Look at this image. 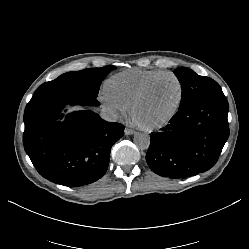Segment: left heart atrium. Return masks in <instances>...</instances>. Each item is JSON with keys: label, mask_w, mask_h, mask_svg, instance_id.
<instances>
[{"label": "left heart atrium", "mask_w": 249, "mask_h": 249, "mask_svg": "<svg viewBox=\"0 0 249 249\" xmlns=\"http://www.w3.org/2000/svg\"><path fill=\"white\" fill-rule=\"evenodd\" d=\"M133 121H134L135 123H140L134 116H133Z\"/></svg>", "instance_id": "1"}]
</instances>
